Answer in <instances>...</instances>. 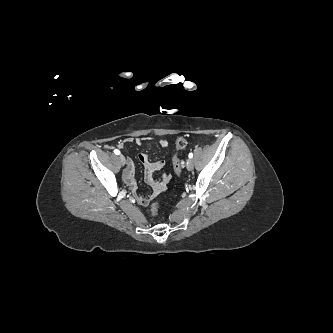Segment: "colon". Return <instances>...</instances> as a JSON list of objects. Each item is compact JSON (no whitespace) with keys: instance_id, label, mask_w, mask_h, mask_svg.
Masks as SVG:
<instances>
[{"instance_id":"colon-1","label":"colon","mask_w":333,"mask_h":333,"mask_svg":"<svg viewBox=\"0 0 333 333\" xmlns=\"http://www.w3.org/2000/svg\"><path fill=\"white\" fill-rule=\"evenodd\" d=\"M186 146H187V140L185 138L180 137L176 140L175 147L177 153L174 155L172 161H173L174 170L178 176H180L182 173V163L178 157V151L183 150ZM157 210H158V204L153 203L150 208L151 213L153 215H156Z\"/></svg>"}]
</instances>
